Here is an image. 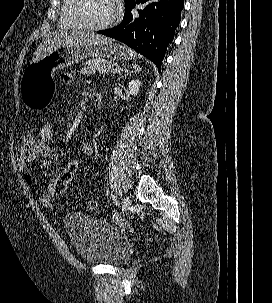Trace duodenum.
<instances>
[{
    "mask_svg": "<svg viewBox=\"0 0 272 303\" xmlns=\"http://www.w3.org/2000/svg\"><path fill=\"white\" fill-rule=\"evenodd\" d=\"M103 101H104V96L102 93H97L94 95L93 97V107L95 109H100L103 105Z\"/></svg>",
    "mask_w": 272,
    "mask_h": 303,
    "instance_id": "410a0bca",
    "label": "duodenum"
}]
</instances>
